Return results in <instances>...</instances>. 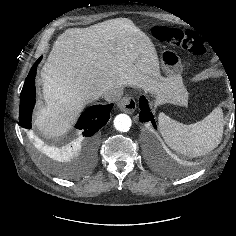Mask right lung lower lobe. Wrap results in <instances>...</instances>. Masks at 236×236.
I'll return each mask as SVG.
<instances>
[{
  "label": "right lung lower lobe",
  "instance_id": "obj_1",
  "mask_svg": "<svg viewBox=\"0 0 236 236\" xmlns=\"http://www.w3.org/2000/svg\"><path fill=\"white\" fill-rule=\"evenodd\" d=\"M41 58L32 66L20 95L19 124L25 129L31 128V116L35 104V76ZM112 107L113 104L91 106L80 116L75 126L81 131L75 146H81L89 156L94 153L95 133L108 122Z\"/></svg>",
  "mask_w": 236,
  "mask_h": 236
}]
</instances>
